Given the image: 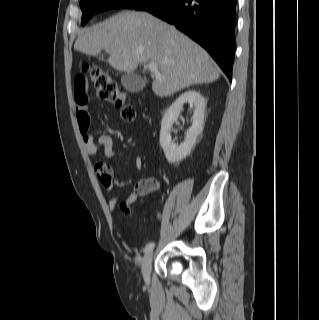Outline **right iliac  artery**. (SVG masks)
Instances as JSON below:
<instances>
[{
	"mask_svg": "<svg viewBox=\"0 0 319 320\" xmlns=\"http://www.w3.org/2000/svg\"><path fill=\"white\" fill-rule=\"evenodd\" d=\"M154 246H155V243H154V242L148 243V244L145 246L144 252L146 253V252L151 251V250L154 248Z\"/></svg>",
	"mask_w": 319,
	"mask_h": 320,
	"instance_id": "1",
	"label": "right iliac artery"
}]
</instances>
